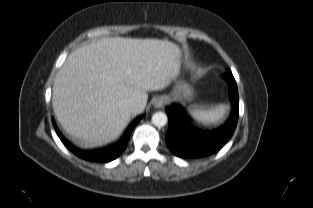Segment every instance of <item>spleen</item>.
Segmentation results:
<instances>
[{"label":"spleen","instance_id":"spleen-1","mask_svg":"<svg viewBox=\"0 0 313 208\" xmlns=\"http://www.w3.org/2000/svg\"><path fill=\"white\" fill-rule=\"evenodd\" d=\"M228 108V105H219L212 110L194 114V118L206 124L217 123L225 116Z\"/></svg>","mask_w":313,"mask_h":208}]
</instances>
